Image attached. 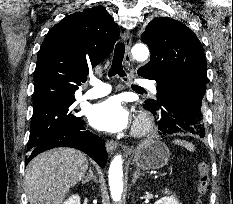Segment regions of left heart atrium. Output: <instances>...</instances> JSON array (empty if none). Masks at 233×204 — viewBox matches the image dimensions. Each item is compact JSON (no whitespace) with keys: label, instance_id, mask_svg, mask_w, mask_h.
Returning a JSON list of instances; mask_svg holds the SVG:
<instances>
[{"label":"left heart atrium","instance_id":"1","mask_svg":"<svg viewBox=\"0 0 233 204\" xmlns=\"http://www.w3.org/2000/svg\"><path fill=\"white\" fill-rule=\"evenodd\" d=\"M90 124L104 132L118 133L130 125V113L123 101L113 96L105 99L90 108L88 113Z\"/></svg>","mask_w":233,"mask_h":204}]
</instances>
